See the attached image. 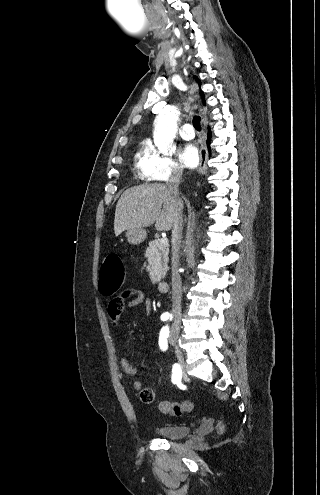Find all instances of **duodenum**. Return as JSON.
<instances>
[{
    "label": "duodenum",
    "instance_id": "410a0bca",
    "mask_svg": "<svg viewBox=\"0 0 320 495\" xmlns=\"http://www.w3.org/2000/svg\"><path fill=\"white\" fill-rule=\"evenodd\" d=\"M158 288L161 292H166L169 288V282L166 281V280H161L159 283H158Z\"/></svg>",
    "mask_w": 320,
    "mask_h": 495
}]
</instances>
